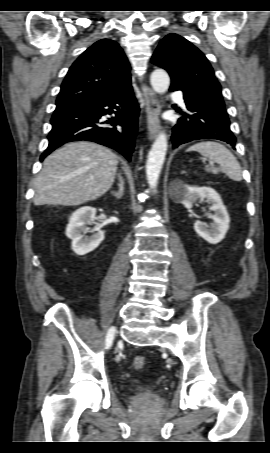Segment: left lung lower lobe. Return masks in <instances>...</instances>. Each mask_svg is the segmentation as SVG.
<instances>
[{"label": "left lung lower lobe", "instance_id": "0a47b994", "mask_svg": "<svg viewBox=\"0 0 270 453\" xmlns=\"http://www.w3.org/2000/svg\"><path fill=\"white\" fill-rule=\"evenodd\" d=\"M180 90L171 86L170 91ZM187 110L182 112L173 127L172 148L199 139H217L230 144L234 149L236 138L230 130L228 115L217 109L201 105L184 95Z\"/></svg>", "mask_w": 270, "mask_h": 453}]
</instances>
